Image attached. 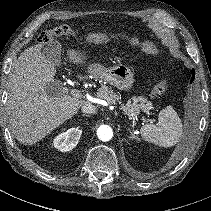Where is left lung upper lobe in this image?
I'll use <instances>...</instances> for the list:
<instances>
[{
    "mask_svg": "<svg viewBox=\"0 0 211 211\" xmlns=\"http://www.w3.org/2000/svg\"><path fill=\"white\" fill-rule=\"evenodd\" d=\"M192 74H193V76H192V79H191L190 82L194 81V77H195L194 70H193V73Z\"/></svg>",
    "mask_w": 211,
    "mask_h": 211,
    "instance_id": "5c2ea615",
    "label": "left lung upper lobe"
}]
</instances>
